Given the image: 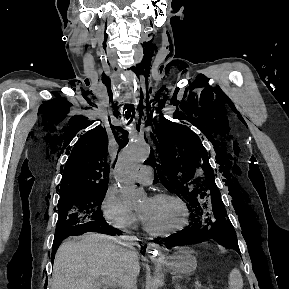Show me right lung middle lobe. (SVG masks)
I'll return each mask as SVG.
<instances>
[{
	"label": "right lung middle lobe",
	"mask_w": 289,
	"mask_h": 289,
	"mask_svg": "<svg viewBox=\"0 0 289 289\" xmlns=\"http://www.w3.org/2000/svg\"><path fill=\"white\" fill-rule=\"evenodd\" d=\"M106 191L107 188L61 197L55 236L67 237L70 232L79 228L105 222L100 205Z\"/></svg>",
	"instance_id": "1"
}]
</instances>
